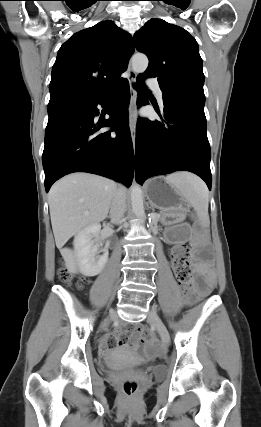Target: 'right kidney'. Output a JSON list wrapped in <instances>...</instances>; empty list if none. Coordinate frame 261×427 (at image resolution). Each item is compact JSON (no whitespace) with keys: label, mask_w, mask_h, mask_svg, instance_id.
<instances>
[{"label":"right kidney","mask_w":261,"mask_h":427,"mask_svg":"<svg viewBox=\"0 0 261 427\" xmlns=\"http://www.w3.org/2000/svg\"><path fill=\"white\" fill-rule=\"evenodd\" d=\"M101 225L96 223L84 228L74 238V249L80 272L85 276H96L108 261V250L100 249L98 241ZM103 252L102 255H99Z\"/></svg>","instance_id":"right-kidney-1"}]
</instances>
